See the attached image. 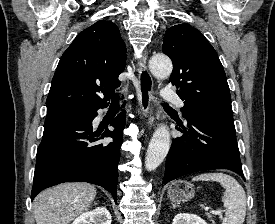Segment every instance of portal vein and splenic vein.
<instances>
[{
  "label": "portal vein and splenic vein",
  "instance_id": "obj_1",
  "mask_svg": "<svg viewBox=\"0 0 275 224\" xmlns=\"http://www.w3.org/2000/svg\"><path fill=\"white\" fill-rule=\"evenodd\" d=\"M205 211H209L208 207H204ZM210 213L215 214V215H220L222 213V211L220 210H216V211H210Z\"/></svg>",
  "mask_w": 275,
  "mask_h": 224
}]
</instances>
